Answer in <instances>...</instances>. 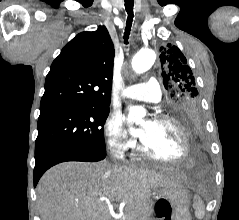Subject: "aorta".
Instances as JSON below:
<instances>
[{
    "label": "aorta",
    "mask_w": 239,
    "mask_h": 220,
    "mask_svg": "<svg viewBox=\"0 0 239 220\" xmlns=\"http://www.w3.org/2000/svg\"><path fill=\"white\" fill-rule=\"evenodd\" d=\"M155 59H156V54L153 50L151 49L141 50L134 55L131 62L132 68L136 73L141 74L147 71L148 69H150ZM145 114H146V111L144 108L133 106V107H130L129 109L128 118L131 121H136L137 119L144 117Z\"/></svg>",
    "instance_id": "obj_1"
}]
</instances>
